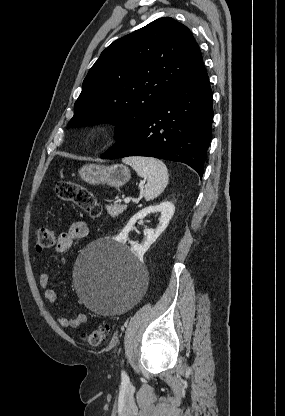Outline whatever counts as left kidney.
Wrapping results in <instances>:
<instances>
[{"instance_id": "5707ae66", "label": "left kidney", "mask_w": 285, "mask_h": 416, "mask_svg": "<svg viewBox=\"0 0 285 416\" xmlns=\"http://www.w3.org/2000/svg\"><path fill=\"white\" fill-rule=\"evenodd\" d=\"M153 212H161V218L159 220L160 224L157 226L156 230H144L145 238L143 244H134V246H131V252H133L135 256H138V258H142V256H144L145 252L149 250L151 244H153V242L159 238L160 234L164 232L165 228H167L175 212L172 202H162L159 206H149V208H143V210L137 212L133 218H130L127 226H125L119 236V240H121V242H127L128 234L131 232L137 220H142V218H146L147 214H153Z\"/></svg>"}]
</instances>
